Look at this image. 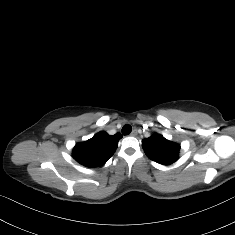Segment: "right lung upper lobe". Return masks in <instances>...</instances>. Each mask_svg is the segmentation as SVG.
Returning a JSON list of instances; mask_svg holds the SVG:
<instances>
[{"label":"right lung upper lobe","instance_id":"1","mask_svg":"<svg viewBox=\"0 0 235 235\" xmlns=\"http://www.w3.org/2000/svg\"><path fill=\"white\" fill-rule=\"evenodd\" d=\"M121 138L120 133L108 135L101 131L91 139L77 143L73 149V158L83 166L100 167L114 154Z\"/></svg>","mask_w":235,"mask_h":235}]
</instances>
